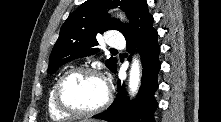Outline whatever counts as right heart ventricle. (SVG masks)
Wrapping results in <instances>:
<instances>
[{"mask_svg": "<svg viewBox=\"0 0 221 122\" xmlns=\"http://www.w3.org/2000/svg\"><path fill=\"white\" fill-rule=\"evenodd\" d=\"M60 78V77H59ZM58 78V79H59ZM58 79L54 82L51 89L49 90L48 99H47V109L50 117L55 121L65 120L70 117V115L60 111L54 101V89Z\"/></svg>", "mask_w": 221, "mask_h": 122, "instance_id": "obj_1", "label": "right heart ventricle"}]
</instances>
